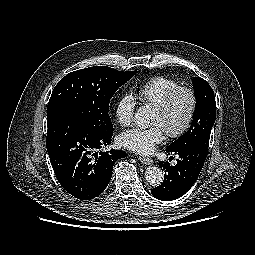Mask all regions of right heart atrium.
Wrapping results in <instances>:
<instances>
[{
    "label": "right heart atrium",
    "instance_id": "d8ad5b80",
    "mask_svg": "<svg viewBox=\"0 0 255 255\" xmlns=\"http://www.w3.org/2000/svg\"><path fill=\"white\" fill-rule=\"evenodd\" d=\"M135 100L130 94H123L115 104V118L123 126L129 125L134 117Z\"/></svg>",
    "mask_w": 255,
    "mask_h": 255
}]
</instances>
